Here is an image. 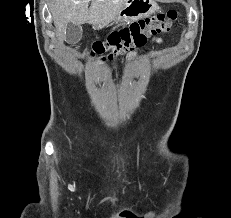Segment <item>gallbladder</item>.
I'll use <instances>...</instances> for the list:
<instances>
[{"label": "gallbladder", "instance_id": "1", "mask_svg": "<svg viewBox=\"0 0 231 218\" xmlns=\"http://www.w3.org/2000/svg\"><path fill=\"white\" fill-rule=\"evenodd\" d=\"M82 27L79 25H75L73 23H69L67 25L66 30V41L70 44L78 43L82 38Z\"/></svg>", "mask_w": 231, "mask_h": 218}]
</instances>
